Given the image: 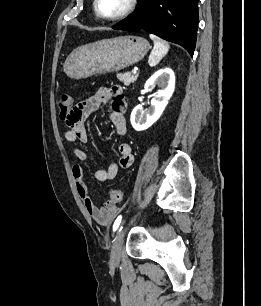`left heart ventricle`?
Listing matches in <instances>:
<instances>
[{
    "mask_svg": "<svg viewBox=\"0 0 261 306\" xmlns=\"http://www.w3.org/2000/svg\"><path fill=\"white\" fill-rule=\"evenodd\" d=\"M128 0H98V8L105 16H114L120 13L127 5Z\"/></svg>",
    "mask_w": 261,
    "mask_h": 306,
    "instance_id": "left-heart-ventricle-1",
    "label": "left heart ventricle"
}]
</instances>
